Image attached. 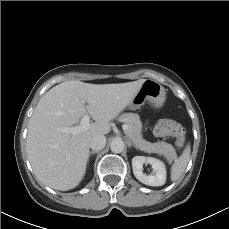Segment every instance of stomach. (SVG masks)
<instances>
[{
	"mask_svg": "<svg viewBox=\"0 0 229 229\" xmlns=\"http://www.w3.org/2000/svg\"><path fill=\"white\" fill-rule=\"evenodd\" d=\"M166 99L165 88L154 80H146L133 101L130 103V109H139L145 102H148L154 108H160Z\"/></svg>",
	"mask_w": 229,
	"mask_h": 229,
	"instance_id": "0dacf381",
	"label": "stomach"
}]
</instances>
